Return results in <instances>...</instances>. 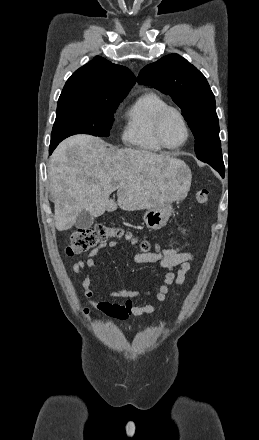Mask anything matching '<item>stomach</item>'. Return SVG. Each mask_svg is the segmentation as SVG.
Returning a JSON list of instances; mask_svg holds the SVG:
<instances>
[{"instance_id": "obj_1", "label": "stomach", "mask_w": 259, "mask_h": 440, "mask_svg": "<svg viewBox=\"0 0 259 440\" xmlns=\"http://www.w3.org/2000/svg\"><path fill=\"white\" fill-rule=\"evenodd\" d=\"M172 213L173 207L171 202H168L148 209L143 215V220L148 228L158 230L167 224Z\"/></svg>"}]
</instances>
